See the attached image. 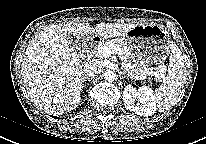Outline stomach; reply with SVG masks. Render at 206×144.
<instances>
[{
	"label": "stomach",
	"instance_id": "stomach-1",
	"mask_svg": "<svg viewBox=\"0 0 206 144\" xmlns=\"http://www.w3.org/2000/svg\"><path fill=\"white\" fill-rule=\"evenodd\" d=\"M122 40L130 48L132 59L140 67L153 69L152 66H163L171 53L169 33L163 25L155 23L135 25Z\"/></svg>",
	"mask_w": 206,
	"mask_h": 144
}]
</instances>
